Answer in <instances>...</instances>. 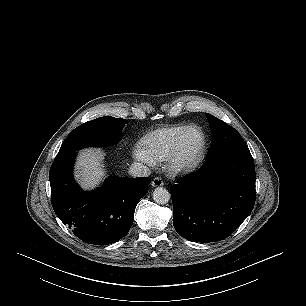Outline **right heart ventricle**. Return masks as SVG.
Wrapping results in <instances>:
<instances>
[{
	"instance_id": "1",
	"label": "right heart ventricle",
	"mask_w": 306,
	"mask_h": 306,
	"mask_svg": "<svg viewBox=\"0 0 306 306\" xmlns=\"http://www.w3.org/2000/svg\"><path fill=\"white\" fill-rule=\"evenodd\" d=\"M185 127L171 125L152 130L142 138L141 145L154 159L164 160L172 153L175 143Z\"/></svg>"
}]
</instances>
